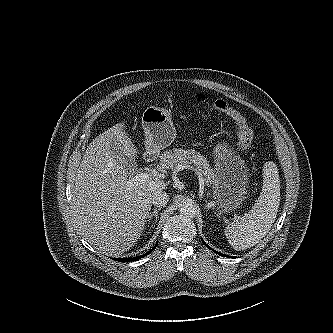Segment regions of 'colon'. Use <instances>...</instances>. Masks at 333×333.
<instances>
[{
  "label": "colon",
  "mask_w": 333,
  "mask_h": 333,
  "mask_svg": "<svg viewBox=\"0 0 333 333\" xmlns=\"http://www.w3.org/2000/svg\"><path fill=\"white\" fill-rule=\"evenodd\" d=\"M197 100L199 103L208 104L211 108L224 113L234 122L239 140V148L242 152H247L251 148L254 138L252 130L248 126L246 119L227 101L218 99L209 102L207 95L204 93L198 94Z\"/></svg>",
  "instance_id": "obj_1"
}]
</instances>
